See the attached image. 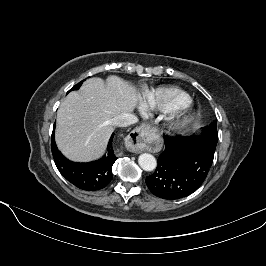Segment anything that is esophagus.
<instances>
[{
	"label": "esophagus",
	"mask_w": 266,
	"mask_h": 266,
	"mask_svg": "<svg viewBox=\"0 0 266 266\" xmlns=\"http://www.w3.org/2000/svg\"><path fill=\"white\" fill-rule=\"evenodd\" d=\"M149 134V127L142 125L134 129L126 137L125 145L128 151L133 153H141L144 151V141Z\"/></svg>",
	"instance_id": "obj_1"
}]
</instances>
